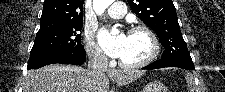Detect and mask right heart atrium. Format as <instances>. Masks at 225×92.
<instances>
[{
    "label": "right heart atrium",
    "instance_id": "1",
    "mask_svg": "<svg viewBox=\"0 0 225 92\" xmlns=\"http://www.w3.org/2000/svg\"><path fill=\"white\" fill-rule=\"evenodd\" d=\"M85 40H86V51L90 58L95 61L103 62L105 56L101 48L97 45L94 40V31L92 29H87L85 31Z\"/></svg>",
    "mask_w": 225,
    "mask_h": 92
}]
</instances>
